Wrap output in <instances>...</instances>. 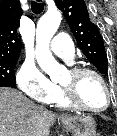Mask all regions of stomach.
<instances>
[{"label": "stomach", "mask_w": 117, "mask_h": 136, "mask_svg": "<svg viewBox=\"0 0 117 136\" xmlns=\"http://www.w3.org/2000/svg\"><path fill=\"white\" fill-rule=\"evenodd\" d=\"M74 136H95L96 123L91 116L77 115L61 119Z\"/></svg>", "instance_id": "obj_1"}]
</instances>
